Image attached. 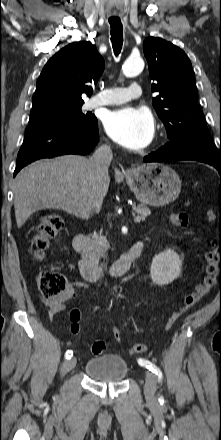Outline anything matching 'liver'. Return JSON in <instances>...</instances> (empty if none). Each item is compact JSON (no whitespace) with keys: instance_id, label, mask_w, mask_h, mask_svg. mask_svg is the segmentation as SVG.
Masks as SVG:
<instances>
[{"instance_id":"liver-1","label":"liver","mask_w":221,"mask_h":440,"mask_svg":"<svg viewBox=\"0 0 221 440\" xmlns=\"http://www.w3.org/2000/svg\"><path fill=\"white\" fill-rule=\"evenodd\" d=\"M104 180L101 203H90L92 172L89 159L64 155L52 160H39L22 169L14 182V209L18 228L39 210L59 209L80 218L99 210L109 187Z\"/></svg>"}]
</instances>
